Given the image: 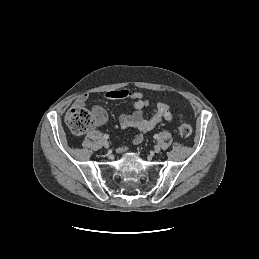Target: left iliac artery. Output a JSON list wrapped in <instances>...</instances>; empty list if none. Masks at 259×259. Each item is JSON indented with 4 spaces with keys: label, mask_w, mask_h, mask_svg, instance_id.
I'll return each instance as SVG.
<instances>
[{
    "label": "left iliac artery",
    "mask_w": 259,
    "mask_h": 259,
    "mask_svg": "<svg viewBox=\"0 0 259 259\" xmlns=\"http://www.w3.org/2000/svg\"><path fill=\"white\" fill-rule=\"evenodd\" d=\"M158 138H159L158 134H155L154 139H158Z\"/></svg>",
    "instance_id": "44dca946"
}]
</instances>
